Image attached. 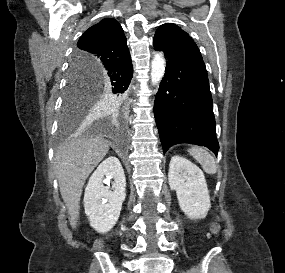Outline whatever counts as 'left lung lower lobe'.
Here are the masks:
<instances>
[{
  "label": "left lung lower lobe",
  "mask_w": 285,
  "mask_h": 273,
  "mask_svg": "<svg viewBox=\"0 0 285 273\" xmlns=\"http://www.w3.org/2000/svg\"><path fill=\"white\" fill-rule=\"evenodd\" d=\"M153 45L167 58L154 102L163 152L174 144L190 143L205 146L217 155L213 101L199 49L183 36L170 34L155 35Z\"/></svg>",
  "instance_id": "obj_1"
}]
</instances>
